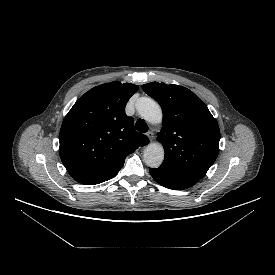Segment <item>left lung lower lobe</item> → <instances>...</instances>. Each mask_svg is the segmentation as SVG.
<instances>
[{
  "label": "left lung lower lobe",
  "mask_w": 275,
  "mask_h": 275,
  "mask_svg": "<svg viewBox=\"0 0 275 275\" xmlns=\"http://www.w3.org/2000/svg\"><path fill=\"white\" fill-rule=\"evenodd\" d=\"M149 172L156 182L173 190L187 189L198 181L192 176L162 165L159 168H150Z\"/></svg>",
  "instance_id": "obj_1"
}]
</instances>
